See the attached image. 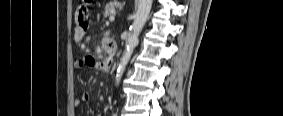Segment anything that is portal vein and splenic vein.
Masks as SVG:
<instances>
[{"mask_svg": "<svg viewBox=\"0 0 283 116\" xmlns=\"http://www.w3.org/2000/svg\"><path fill=\"white\" fill-rule=\"evenodd\" d=\"M114 20H115V17H114L113 15L109 17V21L112 22V21H114Z\"/></svg>", "mask_w": 283, "mask_h": 116, "instance_id": "18ae733b", "label": "portal vein and splenic vein"}]
</instances>
